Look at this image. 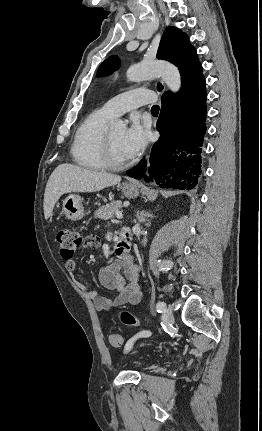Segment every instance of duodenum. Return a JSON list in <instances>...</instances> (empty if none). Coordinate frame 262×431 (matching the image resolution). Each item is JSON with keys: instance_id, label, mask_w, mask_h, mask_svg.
Wrapping results in <instances>:
<instances>
[{"instance_id": "obj_1", "label": "duodenum", "mask_w": 262, "mask_h": 431, "mask_svg": "<svg viewBox=\"0 0 262 431\" xmlns=\"http://www.w3.org/2000/svg\"><path fill=\"white\" fill-rule=\"evenodd\" d=\"M118 251L121 255L126 256L128 253L127 244L125 241H119Z\"/></svg>"}]
</instances>
